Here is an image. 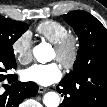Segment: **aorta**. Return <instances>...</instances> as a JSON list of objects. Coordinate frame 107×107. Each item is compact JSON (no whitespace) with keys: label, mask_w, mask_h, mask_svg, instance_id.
<instances>
[{"label":"aorta","mask_w":107,"mask_h":107,"mask_svg":"<svg viewBox=\"0 0 107 107\" xmlns=\"http://www.w3.org/2000/svg\"><path fill=\"white\" fill-rule=\"evenodd\" d=\"M48 52V47L44 43L35 46L33 49L34 57L40 63H46L49 60ZM43 102L46 107H58L60 96L56 92H48L44 95Z\"/></svg>","instance_id":"1"}]
</instances>
